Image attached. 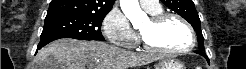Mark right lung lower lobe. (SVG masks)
I'll list each match as a JSON object with an SVG mask.
<instances>
[{"label":"right lung lower lobe","mask_w":246,"mask_h":69,"mask_svg":"<svg viewBox=\"0 0 246 69\" xmlns=\"http://www.w3.org/2000/svg\"><path fill=\"white\" fill-rule=\"evenodd\" d=\"M57 38H47V39H41L40 43L37 46V50L41 49L43 46H45L46 44L56 40Z\"/></svg>","instance_id":"obj_1"}]
</instances>
